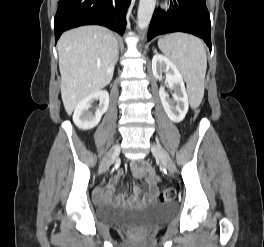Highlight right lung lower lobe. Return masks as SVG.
Returning <instances> with one entry per match:
<instances>
[{"mask_svg":"<svg viewBox=\"0 0 264 247\" xmlns=\"http://www.w3.org/2000/svg\"><path fill=\"white\" fill-rule=\"evenodd\" d=\"M130 0H59L54 19L55 42L71 28L102 25L123 35Z\"/></svg>","mask_w":264,"mask_h":247,"instance_id":"1","label":"right lung lower lobe"}]
</instances>
